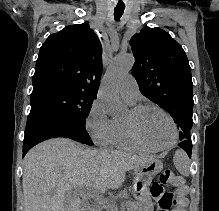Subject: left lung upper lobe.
<instances>
[{"label":"left lung upper lobe","mask_w":219,"mask_h":211,"mask_svg":"<svg viewBox=\"0 0 219 211\" xmlns=\"http://www.w3.org/2000/svg\"><path fill=\"white\" fill-rule=\"evenodd\" d=\"M130 45L135 57L132 75L141 93L164 108L181 128L180 140L190 139L193 83L188 58L181 47L160 28H143Z\"/></svg>","instance_id":"obj_1"}]
</instances>
